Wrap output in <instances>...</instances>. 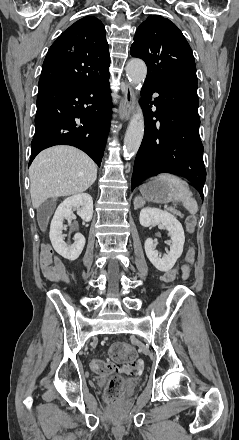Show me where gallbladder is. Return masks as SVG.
Listing matches in <instances>:
<instances>
[{
    "label": "gallbladder",
    "mask_w": 239,
    "mask_h": 440,
    "mask_svg": "<svg viewBox=\"0 0 239 440\" xmlns=\"http://www.w3.org/2000/svg\"><path fill=\"white\" fill-rule=\"evenodd\" d=\"M38 224H39V226H41L40 212H38Z\"/></svg>",
    "instance_id": "bac80fb5"
}]
</instances>
